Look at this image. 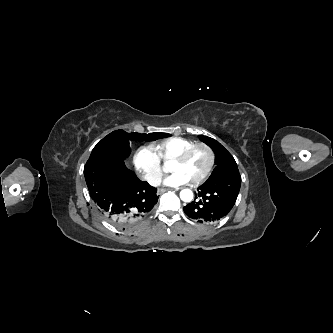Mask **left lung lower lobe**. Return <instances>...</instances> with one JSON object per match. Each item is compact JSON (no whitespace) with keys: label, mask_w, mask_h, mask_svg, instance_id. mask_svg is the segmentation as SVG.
Here are the masks:
<instances>
[{"label":"left lung lower lobe","mask_w":333,"mask_h":333,"mask_svg":"<svg viewBox=\"0 0 333 333\" xmlns=\"http://www.w3.org/2000/svg\"><path fill=\"white\" fill-rule=\"evenodd\" d=\"M241 185L239 172L223 174L198 187L195 200L184 207L185 214L200 223L212 224L228 215Z\"/></svg>","instance_id":"left-lung-lower-lobe-1"}]
</instances>
